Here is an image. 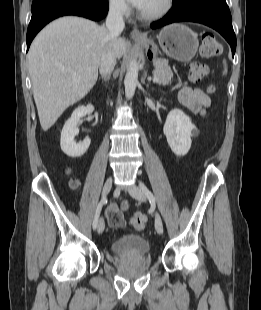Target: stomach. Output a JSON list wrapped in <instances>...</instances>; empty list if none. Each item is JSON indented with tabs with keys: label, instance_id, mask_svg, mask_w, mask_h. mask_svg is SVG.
Instances as JSON below:
<instances>
[{
	"label": "stomach",
	"instance_id": "0dacf381",
	"mask_svg": "<svg viewBox=\"0 0 261 310\" xmlns=\"http://www.w3.org/2000/svg\"><path fill=\"white\" fill-rule=\"evenodd\" d=\"M158 41L164 53L181 62H189L195 56L199 41L196 33L181 23H173L164 27L158 36ZM148 50L153 60L158 54L157 46L150 40L141 42Z\"/></svg>",
	"mask_w": 261,
	"mask_h": 310
}]
</instances>
